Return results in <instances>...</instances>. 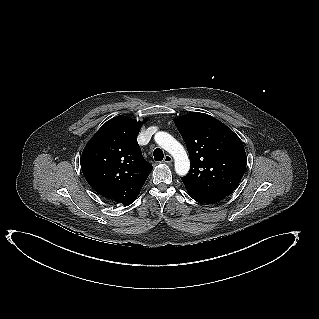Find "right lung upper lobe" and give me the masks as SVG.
Instances as JSON below:
<instances>
[{"label":"right lung upper lobe","instance_id":"1","mask_svg":"<svg viewBox=\"0 0 319 319\" xmlns=\"http://www.w3.org/2000/svg\"><path fill=\"white\" fill-rule=\"evenodd\" d=\"M141 126L142 122L125 116L110 119L85 146L80 159L89 185L125 206L135 200L153 169L137 142Z\"/></svg>","mask_w":319,"mask_h":319}]
</instances>
